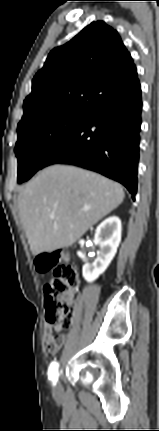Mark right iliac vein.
Returning <instances> with one entry per match:
<instances>
[{
	"label": "right iliac vein",
	"instance_id": "right-iliac-vein-1",
	"mask_svg": "<svg viewBox=\"0 0 159 431\" xmlns=\"http://www.w3.org/2000/svg\"><path fill=\"white\" fill-rule=\"evenodd\" d=\"M59 389H60L59 385H56L55 391H59Z\"/></svg>",
	"mask_w": 159,
	"mask_h": 431
}]
</instances>
